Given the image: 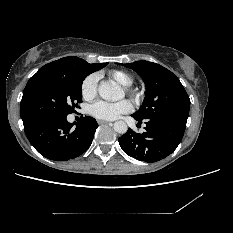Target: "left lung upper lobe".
<instances>
[{
    "mask_svg": "<svg viewBox=\"0 0 233 233\" xmlns=\"http://www.w3.org/2000/svg\"><path fill=\"white\" fill-rule=\"evenodd\" d=\"M119 64L136 71L146 85L143 104L132 116L140 120L160 117L187 121L190 99L179 79L171 71L144 60Z\"/></svg>",
    "mask_w": 233,
    "mask_h": 233,
    "instance_id": "1",
    "label": "left lung upper lobe"
}]
</instances>
